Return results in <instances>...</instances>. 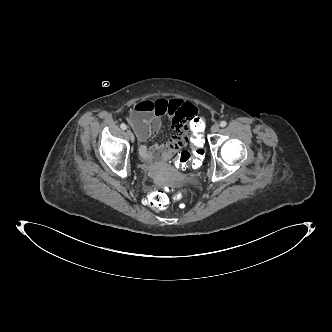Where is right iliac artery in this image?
<instances>
[{
    "instance_id": "82829eb1",
    "label": "right iliac artery",
    "mask_w": 332,
    "mask_h": 332,
    "mask_svg": "<svg viewBox=\"0 0 332 332\" xmlns=\"http://www.w3.org/2000/svg\"><path fill=\"white\" fill-rule=\"evenodd\" d=\"M120 127H121L122 130H126V129H127V126H126V124H124V123H122V124L120 125Z\"/></svg>"
}]
</instances>
